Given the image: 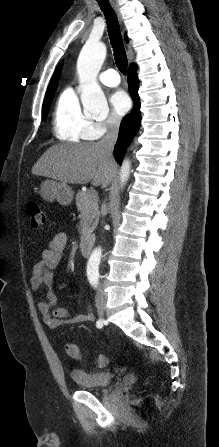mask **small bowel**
I'll use <instances>...</instances> for the list:
<instances>
[{"label":"small bowel","instance_id":"c3829d8e","mask_svg":"<svg viewBox=\"0 0 219 447\" xmlns=\"http://www.w3.org/2000/svg\"><path fill=\"white\" fill-rule=\"evenodd\" d=\"M67 244L64 233L56 234L42 252L41 258L31 269L29 283L31 290L38 293L44 286L47 300L38 303L44 323L52 329L66 324L92 322L95 316L91 310L73 315L67 309L56 307L57 298L52 290V272L60 265Z\"/></svg>","mask_w":219,"mask_h":447}]
</instances>
